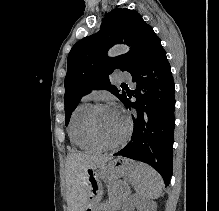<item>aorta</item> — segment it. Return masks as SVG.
Returning <instances> with one entry per match:
<instances>
[{
    "mask_svg": "<svg viewBox=\"0 0 219 211\" xmlns=\"http://www.w3.org/2000/svg\"><path fill=\"white\" fill-rule=\"evenodd\" d=\"M129 50L127 46L121 45V46H116L112 50L109 51V56H116L122 53H125Z\"/></svg>",
    "mask_w": 219,
    "mask_h": 211,
    "instance_id": "aorta-1",
    "label": "aorta"
}]
</instances>
